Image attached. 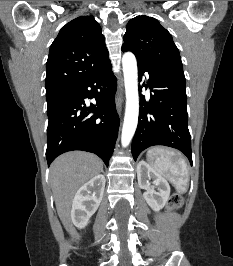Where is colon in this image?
Listing matches in <instances>:
<instances>
[{
  "mask_svg": "<svg viewBox=\"0 0 233 266\" xmlns=\"http://www.w3.org/2000/svg\"><path fill=\"white\" fill-rule=\"evenodd\" d=\"M183 204V197L180 194L174 193L170 196L168 202V209L175 210Z\"/></svg>",
  "mask_w": 233,
  "mask_h": 266,
  "instance_id": "obj_1",
  "label": "colon"
}]
</instances>
